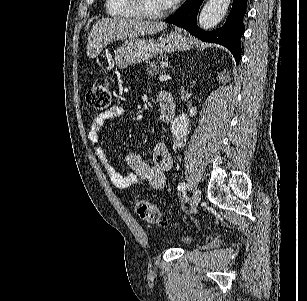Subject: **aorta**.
I'll return each mask as SVG.
<instances>
[{
	"mask_svg": "<svg viewBox=\"0 0 307 301\" xmlns=\"http://www.w3.org/2000/svg\"><path fill=\"white\" fill-rule=\"evenodd\" d=\"M229 4L230 0H207L199 14V26L204 30L216 26L225 16ZM171 132L174 140H177L180 144L185 142L189 132V118L186 112H182L178 118H175L171 124Z\"/></svg>",
	"mask_w": 307,
	"mask_h": 301,
	"instance_id": "aorta-1",
	"label": "aorta"
}]
</instances>
